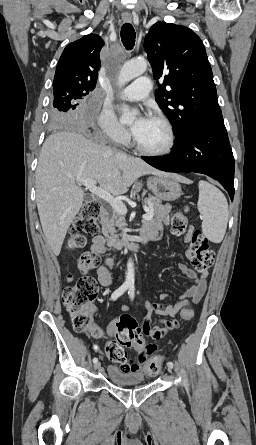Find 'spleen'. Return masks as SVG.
I'll list each match as a JSON object with an SVG mask.
<instances>
[{
  "label": "spleen",
  "instance_id": "1",
  "mask_svg": "<svg viewBox=\"0 0 256 445\" xmlns=\"http://www.w3.org/2000/svg\"><path fill=\"white\" fill-rule=\"evenodd\" d=\"M198 210L203 216L202 232L214 243H220L225 235L229 210L224 194L214 185L199 181Z\"/></svg>",
  "mask_w": 256,
  "mask_h": 445
}]
</instances>
